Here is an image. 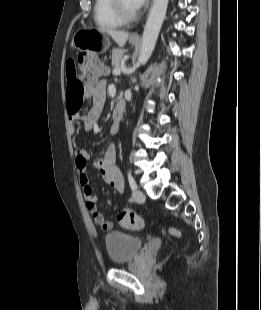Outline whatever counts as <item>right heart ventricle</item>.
<instances>
[{"label": "right heart ventricle", "mask_w": 261, "mask_h": 310, "mask_svg": "<svg viewBox=\"0 0 261 310\" xmlns=\"http://www.w3.org/2000/svg\"><path fill=\"white\" fill-rule=\"evenodd\" d=\"M93 17L95 24L102 29H115L124 23L113 12L110 0H94Z\"/></svg>", "instance_id": "obj_1"}]
</instances>
